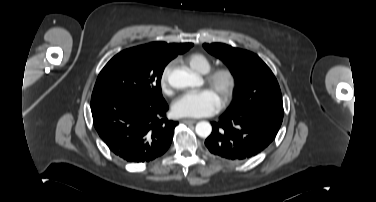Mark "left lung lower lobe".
<instances>
[{
	"label": "left lung lower lobe",
	"mask_w": 376,
	"mask_h": 202,
	"mask_svg": "<svg viewBox=\"0 0 376 202\" xmlns=\"http://www.w3.org/2000/svg\"><path fill=\"white\" fill-rule=\"evenodd\" d=\"M283 117L263 110L242 114L225 112L212 122L205 145L211 153L231 161L248 159L263 151L275 139Z\"/></svg>",
	"instance_id": "obj_1"
}]
</instances>
